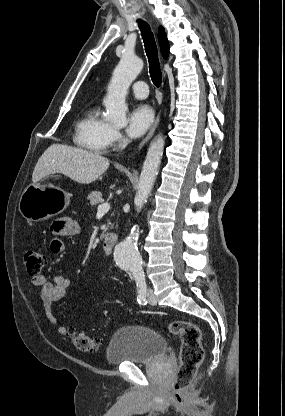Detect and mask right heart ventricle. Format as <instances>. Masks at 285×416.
<instances>
[{"mask_svg":"<svg viewBox=\"0 0 285 416\" xmlns=\"http://www.w3.org/2000/svg\"><path fill=\"white\" fill-rule=\"evenodd\" d=\"M110 129L111 125L101 117L98 108L89 107L76 125L74 142L91 153H102L107 148Z\"/></svg>","mask_w":285,"mask_h":416,"instance_id":"right-heart-ventricle-1","label":"right heart ventricle"}]
</instances>
